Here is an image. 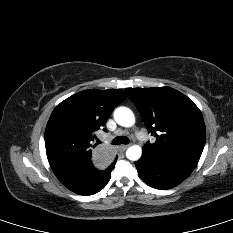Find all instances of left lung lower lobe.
<instances>
[{
	"instance_id": "1",
	"label": "left lung lower lobe",
	"mask_w": 233,
	"mask_h": 233,
	"mask_svg": "<svg viewBox=\"0 0 233 233\" xmlns=\"http://www.w3.org/2000/svg\"><path fill=\"white\" fill-rule=\"evenodd\" d=\"M200 158L185 154H157L143 149L135 163L139 176L151 187L170 189L184 181Z\"/></svg>"
}]
</instances>
